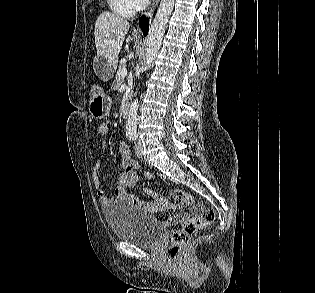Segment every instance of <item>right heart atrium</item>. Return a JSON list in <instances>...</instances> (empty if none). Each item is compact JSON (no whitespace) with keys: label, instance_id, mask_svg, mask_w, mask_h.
I'll return each instance as SVG.
<instances>
[{"label":"right heart atrium","instance_id":"d8ad5b80","mask_svg":"<svg viewBox=\"0 0 315 293\" xmlns=\"http://www.w3.org/2000/svg\"><path fill=\"white\" fill-rule=\"evenodd\" d=\"M128 1L134 10L141 9L146 3V0H128Z\"/></svg>","mask_w":315,"mask_h":293}]
</instances>
